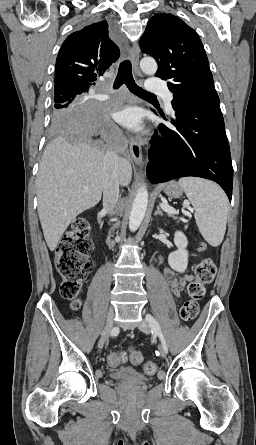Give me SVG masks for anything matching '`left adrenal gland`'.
Wrapping results in <instances>:
<instances>
[{"label":"left adrenal gland","mask_w":256,"mask_h":445,"mask_svg":"<svg viewBox=\"0 0 256 445\" xmlns=\"http://www.w3.org/2000/svg\"><path fill=\"white\" fill-rule=\"evenodd\" d=\"M163 215V212L161 211V208H160V206H157V210L155 211V213H154V215L156 216V215Z\"/></svg>","instance_id":"left-adrenal-gland-1"}]
</instances>
